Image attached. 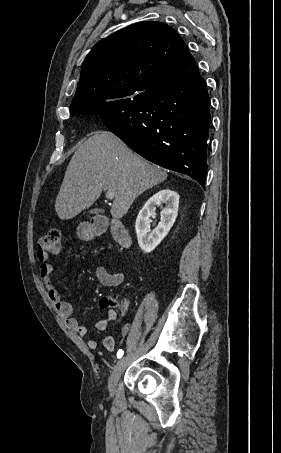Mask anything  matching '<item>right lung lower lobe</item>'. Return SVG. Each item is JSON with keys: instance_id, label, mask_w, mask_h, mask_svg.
<instances>
[{"instance_id": "1", "label": "right lung lower lobe", "mask_w": 281, "mask_h": 453, "mask_svg": "<svg viewBox=\"0 0 281 453\" xmlns=\"http://www.w3.org/2000/svg\"><path fill=\"white\" fill-rule=\"evenodd\" d=\"M207 85L195 65L183 76L130 101L103 105L106 126L147 160L186 174L205 188L211 121Z\"/></svg>"}]
</instances>
